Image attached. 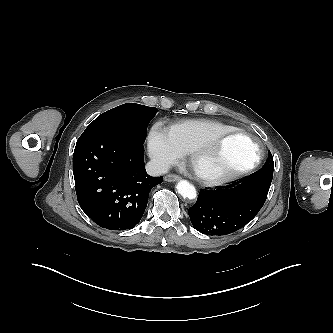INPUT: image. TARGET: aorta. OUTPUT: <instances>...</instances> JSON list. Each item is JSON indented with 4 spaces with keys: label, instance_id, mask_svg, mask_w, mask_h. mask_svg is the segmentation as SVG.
Returning a JSON list of instances; mask_svg holds the SVG:
<instances>
[{
    "label": "aorta",
    "instance_id": "obj_1",
    "mask_svg": "<svg viewBox=\"0 0 333 333\" xmlns=\"http://www.w3.org/2000/svg\"><path fill=\"white\" fill-rule=\"evenodd\" d=\"M177 191L178 193L186 199H194L196 198V189L186 180H181L177 183Z\"/></svg>",
    "mask_w": 333,
    "mask_h": 333
}]
</instances>
